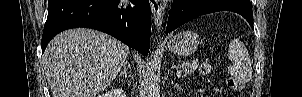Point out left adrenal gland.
I'll use <instances>...</instances> for the list:
<instances>
[{"label": "left adrenal gland", "mask_w": 302, "mask_h": 97, "mask_svg": "<svg viewBox=\"0 0 302 97\" xmlns=\"http://www.w3.org/2000/svg\"><path fill=\"white\" fill-rule=\"evenodd\" d=\"M171 85L174 87V88H176V89H180V86L178 85V83H175V81L173 80V78H172V80H171Z\"/></svg>", "instance_id": "1"}]
</instances>
